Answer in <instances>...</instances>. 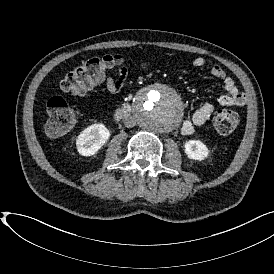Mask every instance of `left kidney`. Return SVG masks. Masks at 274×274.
I'll use <instances>...</instances> for the list:
<instances>
[{
    "instance_id": "left-kidney-1",
    "label": "left kidney",
    "mask_w": 274,
    "mask_h": 274,
    "mask_svg": "<svg viewBox=\"0 0 274 274\" xmlns=\"http://www.w3.org/2000/svg\"><path fill=\"white\" fill-rule=\"evenodd\" d=\"M185 153L188 158L194 160H204L208 154L209 150L200 140H189L185 143Z\"/></svg>"
}]
</instances>
